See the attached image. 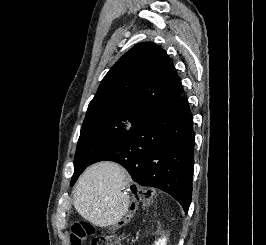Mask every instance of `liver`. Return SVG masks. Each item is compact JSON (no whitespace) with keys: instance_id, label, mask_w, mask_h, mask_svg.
<instances>
[{"instance_id":"liver-1","label":"liver","mask_w":266,"mask_h":245,"mask_svg":"<svg viewBox=\"0 0 266 245\" xmlns=\"http://www.w3.org/2000/svg\"><path fill=\"white\" fill-rule=\"evenodd\" d=\"M129 175L116 163H96L81 175L74 191V207L95 227L117 225L126 215Z\"/></svg>"}]
</instances>
